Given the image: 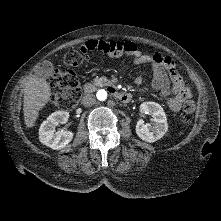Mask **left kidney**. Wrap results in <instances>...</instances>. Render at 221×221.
Returning a JSON list of instances; mask_svg holds the SVG:
<instances>
[{
	"label": "left kidney",
	"instance_id": "1",
	"mask_svg": "<svg viewBox=\"0 0 221 221\" xmlns=\"http://www.w3.org/2000/svg\"><path fill=\"white\" fill-rule=\"evenodd\" d=\"M140 109L152 115V124L139 120L136 124V133L142 140L152 143L162 138L168 131V123L163 108L155 102H144Z\"/></svg>",
	"mask_w": 221,
	"mask_h": 221
}]
</instances>
